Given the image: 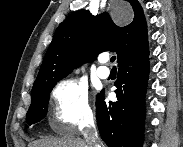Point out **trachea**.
Here are the masks:
<instances>
[{
    "label": "trachea",
    "instance_id": "1",
    "mask_svg": "<svg viewBox=\"0 0 183 147\" xmlns=\"http://www.w3.org/2000/svg\"><path fill=\"white\" fill-rule=\"evenodd\" d=\"M115 60H116V56H112L111 59H110V61H111L112 63L115 62Z\"/></svg>",
    "mask_w": 183,
    "mask_h": 147
}]
</instances>
